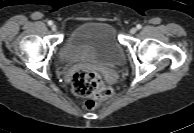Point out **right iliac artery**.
<instances>
[{
  "instance_id": "82829eb1",
  "label": "right iliac artery",
  "mask_w": 194,
  "mask_h": 133,
  "mask_svg": "<svg viewBox=\"0 0 194 133\" xmlns=\"http://www.w3.org/2000/svg\"><path fill=\"white\" fill-rule=\"evenodd\" d=\"M48 25H53V22L52 21H48Z\"/></svg>"
}]
</instances>
